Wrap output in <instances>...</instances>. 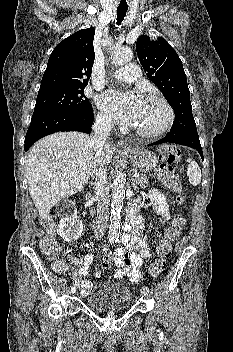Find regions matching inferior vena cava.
Wrapping results in <instances>:
<instances>
[{
  "label": "inferior vena cava",
  "instance_id": "inferior-vena-cava-1",
  "mask_svg": "<svg viewBox=\"0 0 233 352\" xmlns=\"http://www.w3.org/2000/svg\"><path fill=\"white\" fill-rule=\"evenodd\" d=\"M113 128L112 120L104 115H97L92 126L94 136L92 144L94 146V157L92 161L91 176L94 181L95 198L98 201L97 218L95 224V238L102 237L107 228L108 222V198H107V168L104 158V147L106 140L110 136Z\"/></svg>",
  "mask_w": 233,
  "mask_h": 352
}]
</instances>
